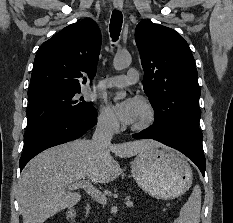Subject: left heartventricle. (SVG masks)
Returning <instances> with one entry per match:
<instances>
[{
	"mask_svg": "<svg viewBox=\"0 0 233 223\" xmlns=\"http://www.w3.org/2000/svg\"><path fill=\"white\" fill-rule=\"evenodd\" d=\"M147 120H148V117H147L146 111H145L143 104H142L141 113H140L137 121L134 124H143V123L147 122Z\"/></svg>",
	"mask_w": 233,
	"mask_h": 223,
	"instance_id": "b2bd125f",
	"label": "left heart ventricle"
}]
</instances>
